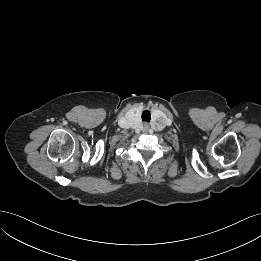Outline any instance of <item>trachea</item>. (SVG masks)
<instances>
[{"instance_id":"1","label":"trachea","mask_w":261,"mask_h":261,"mask_svg":"<svg viewBox=\"0 0 261 261\" xmlns=\"http://www.w3.org/2000/svg\"><path fill=\"white\" fill-rule=\"evenodd\" d=\"M151 120V114L148 110H145L143 113H142V121L144 122H150Z\"/></svg>"}]
</instances>
